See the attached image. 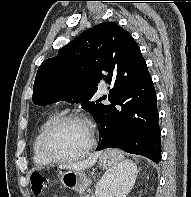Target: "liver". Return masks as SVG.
Segmentation results:
<instances>
[{
  "mask_svg": "<svg viewBox=\"0 0 191 197\" xmlns=\"http://www.w3.org/2000/svg\"><path fill=\"white\" fill-rule=\"evenodd\" d=\"M99 156H100V153L98 152V153H95L92 156L88 157L86 160L70 163L68 165L61 166V168L69 169V170L83 171V170L88 169L91 166H93L96 163Z\"/></svg>",
  "mask_w": 191,
  "mask_h": 197,
  "instance_id": "liver-1",
  "label": "liver"
}]
</instances>
